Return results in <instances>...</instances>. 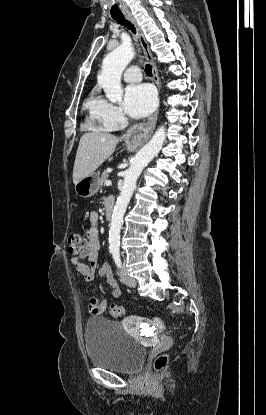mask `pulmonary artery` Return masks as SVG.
<instances>
[{"instance_id": "1", "label": "pulmonary artery", "mask_w": 266, "mask_h": 415, "mask_svg": "<svg viewBox=\"0 0 266 415\" xmlns=\"http://www.w3.org/2000/svg\"><path fill=\"white\" fill-rule=\"evenodd\" d=\"M123 78L125 81L127 82H138L141 80V72L139 67L132 65L130 67H128L124 74H123Z\"/></svg>"}]
</instances>
